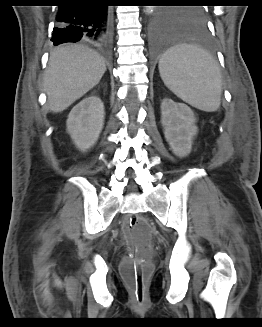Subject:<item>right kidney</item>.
<instances>
[{"instance_id": "obj_1", "label": "right kidney", "mask_w": 262, "mask_h": 327, "mask_svg": "<svg viewBox=\"0 0 262 327\" xmlns=\"http://www.w3.org/2000/svg\"><path fill=\"white\" fill-rule=\"evenodd\" d=\"M104 125V105L97 96H89L73 107L66 122L67 132L83 152L98 140Z\"/></svg>"}]
</instances>
